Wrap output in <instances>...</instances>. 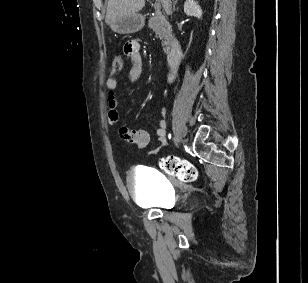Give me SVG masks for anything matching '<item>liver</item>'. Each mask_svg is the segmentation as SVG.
I'll return each mask as SVG.
<instances>
[{
  "instance_id": "6515ba94",
  "label": "liver",
  "mask_w": 308,
  "mask_h": 283,
  "mask_svg": "<svg viewBox=\"0 0 308 283\" xmlns=\"http://www.w3.org/2000/svg\"><path fill=\"white\" fill-rule=\"evenodd\" d=\"M159 1L162 3L165 11L169 13L170 0ZM144 6L145 0H108L105 22L110 25L120 17L136 14Z\"/></svg>"
}]
</instances>
